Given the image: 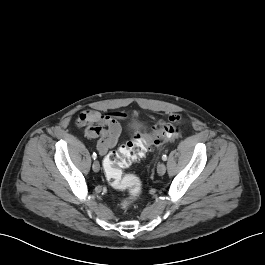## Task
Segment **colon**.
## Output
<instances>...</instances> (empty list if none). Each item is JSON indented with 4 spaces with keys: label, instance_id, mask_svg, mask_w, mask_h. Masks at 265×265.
Wrapping results in <instances>:
<instances>
[{
    "label": "colon",
    "instance_id": "obj_1",
    "mask_svg": "<svg viewBox=\"0 0 265 265\" xmlns=\"http://www.w3.org/2000/svg\"><path fill=\"white\" fill-rule=\"evenodd\" d=\"M172 122H162L155 132L143 137L136 135L118 151L111 152L104 160V171L109 184L117 190L129 192V200L138 198L142 193V182L134 174H123V170L134 161L141 158L145 151L158 145L161 140L172 138L179 133V126L176 120Z\"/></svg>",
    "mask_w": 265,
    "mask_h": 265
}]
</instances>
